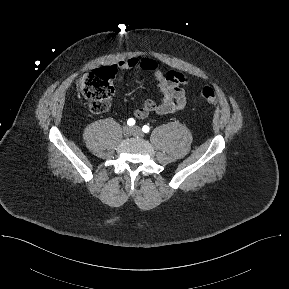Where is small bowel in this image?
<instances>
[{
    "label": "small bowel",
    "mask_w": 289,
    "mask_h": 289,
    "mask_svg": "<svg viewBox=\"0 0 289 289\" xmlns=\"http://www.w3.org/2000/svg\"><path fill=\"white\" fill-rule=\"evenodd\" d=\"M121 69L140 68L153 74L162 98L160 102L152 99L145 100L134 110V116L144 119L151 113L159 115L171 114L184 109L187 105V96L184 87L190 84V79L177 71L164 73L158 63L152 58L131 57L118 63Z\"/></svg>",
    "instance_id": "small-bowel-1"
}]
</instances>
